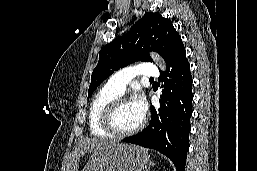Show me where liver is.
<instances>
[{
	"mask_svg": "<svg viewBox=\"0 0 257 171\" xmlns=\"http://www.w3.org/2000/svg\"><path fill=\"white\" fill-rule=\"evenodd\" d=\"M117 143L116 141H108L101 139H84L81 144L74 150V152L69 157V162L67 164V171H78L79 159L87 152H95L111 146Z\"/></svg>",
	"mask_w": 257,
	"mask_h": 171,
	"instance_id": "6515ba94",
	"label": "liver"
}]
</instances>
